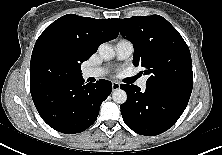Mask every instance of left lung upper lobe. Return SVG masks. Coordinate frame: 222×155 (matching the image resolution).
Here are the masks:
<instances>
[{
	"label": "left lung upper lobe",
	"instance_id": "5c2ea615",
	"mask_svg": "<svg viewBox=\"0 0 222 155\" xmlns=\"http://www.w3.org/2000/svg\"><path fill=\"white\" fill-rule=\"evenodd\" d=\"M121 35L134 45L133 64L150 75L149 88L190 98L193 86L189 48L179 32L162 16L113 19Z\"/></svg>",
	"mask_w": 222,
	"mask_h": 155
}]
</instances>
